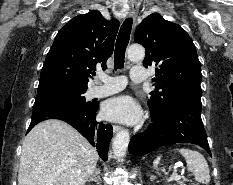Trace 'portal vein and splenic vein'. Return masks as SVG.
I'll return each instance as SVG.
<instances>
[{"label":"portal vein and splenic vein","mask_w":233,"mask_h":185,"mask_svg":"<svg viewBox=\"0 0 233 185\" xmlns=\"http://www.w3.org/2000/svg\"><path fill=\"white\" fill-rule=\"evenodd\" d=\"M171 178L174 180H179V179H181V176L179 174H177L176 172H173Z\"/></svg>","instance_id":"18ae733b"}]
</instances>
